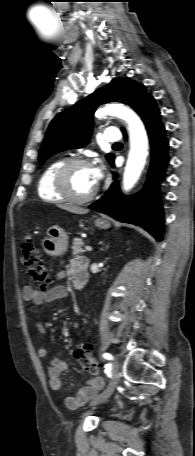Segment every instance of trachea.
Returning <instances> with one entry per match:
<instances>
[{"label":"trachea","instance_id":"3493384b","mask_svg":"<svg viewBox=\"0 0 195 456\" xmlns=\"http://www.w3.org/2000/svg\"><path fill=\"white\" fill-rule=\"evenodd\" d=\"M118 145H121V143L117 142L114 144V146H118Z\"/></svg>","mask_w":195,"mask_h":456}]
</instances>
